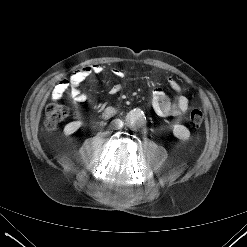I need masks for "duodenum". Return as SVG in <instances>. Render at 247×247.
Returning <instances> with one entry per match:
<instances>
[{"mask_svg":"<svg viewBox=\"0 0 247 247\" xmlns=\"http://www.w3.org/2000/svg\"><path fill=\"white\" fill-rule=\"evenodd\" d=\"M114 113V109L109 107L105 110V115L106 116H111Z\"/></svg>","mask_w":247,"mask_h":247,"instance_id":"410a0bca","label":"duodenum"}]
</instances>
